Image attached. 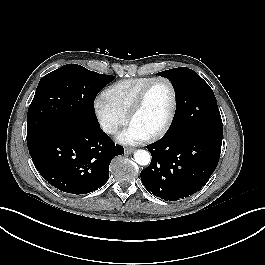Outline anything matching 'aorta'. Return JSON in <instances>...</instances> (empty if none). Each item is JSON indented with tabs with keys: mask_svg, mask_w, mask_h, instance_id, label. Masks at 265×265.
<instances>
[{
	"mask_svg": "<svg viewBox=\"0 0 265 265\" xmlns=\"http://www.w3.org/2000/svg\"><path fill=\"white\" fill-rule=\"evenodd\" d=\"M134 160L139 165L146 166L151 162V155L148 151L139 149L134 153Z\"/></svg>",
	"mask_w": 265,
	"mask_h": 265,
	"instance_id": "762f6f07",
	"label": "aorta"
}]
</instances>
